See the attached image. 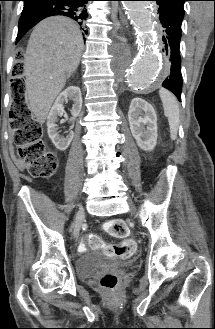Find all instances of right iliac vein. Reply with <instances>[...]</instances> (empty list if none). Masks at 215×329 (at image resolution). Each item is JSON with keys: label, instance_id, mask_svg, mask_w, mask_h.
Wrapping results in <instances>:
<instances>
[{"label": "right iliac vein", "instance_id": "right-iliac-vein-1", "mask_svg": "<svg viewBox=\"0 0 215 329\" xmlns=\"http://www.w3.org/2000/svg\"><path fill=\"white\" fill-rule=\"evenodd\" d=\"M83 216H84V210L81 209V210H79V212L77 214V217H76V220H75V227H74V230H73V237L74 238H77L79 236Z\"/></svg>", "mask_w": 215, "mask_h": 329}]
</instances>
